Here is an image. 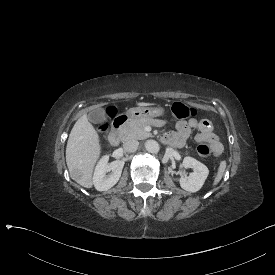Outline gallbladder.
<instances>
[{"label":"gallbladder","instance_id":"gallbladder-1","mask_svg":"<svg viewBox=\"0 0 275 275\" xmlns=\"http://www.w3.org/2000/svg\"><path fill=\"white\" fill-rule=\"evenodd\" d=\"M88 120L92 123H103L106 121V113L104 108H97L88 114Z\"/></svg>","mask_w":275,"mask_h":275}]
</instances>
